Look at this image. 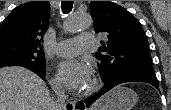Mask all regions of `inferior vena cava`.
Here are the masks:
<instances>
[{
  "mask_svg": "<svg viewBox=\"0 0 171 110\" xmlns=\"http://www.w3.org/2000/svg\"><path fill=\"white\" fill-rule=\"evenodd\" d=\"M51 87L56 95V100L54 101L53 104L54 107L53 110H61L64 107V103L66 99L62 85L58 82H53L51 83Z\"/></svg>",
  "mask_w": 171,
  "mask_h": 110,
  "instance_id": "inferior-vena-cava-1",
  "label": "inferior vena cava"
}]
</instances>
